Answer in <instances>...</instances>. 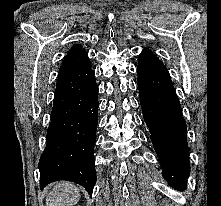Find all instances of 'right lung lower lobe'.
Listing matches in <instances>:
<instances>
[{
  "label": "right lung lower lobe",
  "mask_w": 221,
  "mask_h": 206,
  "mask_svg": "<svg viewBox=\"0 0 221 206\" xmlns=\"http://www.w3.org/2000/svg\"><path fill=\"white\" fill-rule=\"evenodd\" d=\"M97 93L90 61L58 78L47 143L39 161L41 189L51 182L67 180L92 194L96 183Z\"/></svg>",
  "instance_id": "98d812e1"
}]
</instances>
